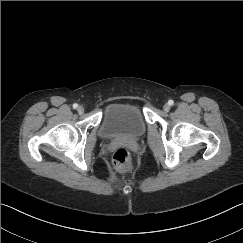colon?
Returning <instances> with one entry per match:
<instances>
[{"label":"colon","mask_w":243,"mask_h":243,"mask_svg":"<svg viewBox=\"0 0 243 243\" xmlns=\"http://www.w3.org/2000/svg\"><path fill=\"white\" fill-rule=\"evenodd\" d=\"M113 163L121 172H128L132 168L131 156L127 149L118 148L113 155Z\"/></svg>","instance_id":"1"}]
</instances>
